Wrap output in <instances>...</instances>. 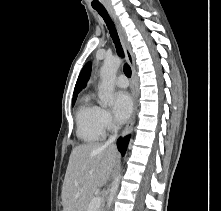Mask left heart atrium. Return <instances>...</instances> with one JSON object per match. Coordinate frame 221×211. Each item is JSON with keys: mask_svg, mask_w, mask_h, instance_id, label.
Returning <instances> with one entry per match:
<instances>
[{"mask_svg": "<svg viewBox=\"0 0 221 211\" xmlns=\"http://www.w3.org/2000/svg\"><path fill=\"white\" fill-rule=\"evenodd\" d=\"M133 103L127 92L120 91L113 98V112L119 122H124L131 115Z\"/></svg>", "mask_w": 221, "mask_h": 211, "instance_id": "39dd6f15", "label": "left heart atrium"}]
</instances>
